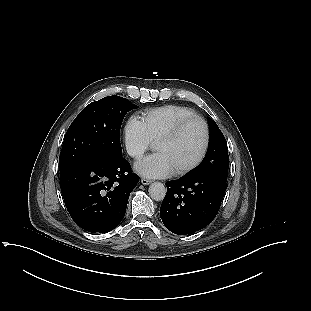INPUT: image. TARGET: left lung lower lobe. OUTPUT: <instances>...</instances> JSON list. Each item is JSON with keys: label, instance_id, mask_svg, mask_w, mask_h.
Here are the masks:
<instances>
[{"label": "left lung lower lobe", "instance_id": "obj_1", "mask_svg": "<svg viewBox=\"0 0 311 311\" xmlns=\"http://www.w3.org/2000/svg\"><path fill=\"white\" fill-rule=\"evenodd\" d=\"M166 186L160 217L167 229L179 235L194 233L210 224L227 188L226 181L211 175L188 176Z\"/></svg>", "mask_w": 311, "mask_h": 311}]
</instances>
